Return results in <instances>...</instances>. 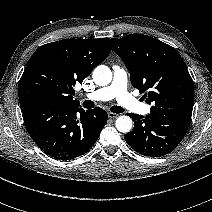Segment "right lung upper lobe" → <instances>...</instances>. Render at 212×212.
<instances>
[{
	"label": "right lung upper lobe",
	"instance_id": "cb5924a9",
	"mask_svg": "<svg viewBox=\"0 0 212 212\" xmlns=\"http://www.w3.org/2000/svg\"><path fill=\"white\" fill-rule=\"evenodd\" d=\"M111 52L109 38L64 39L40 46L21 77V111L46 105L80 106L72 88L81 83Z\"/></svg>",
	"mask_w": 212,
	"mask_h": 212
}]
</instances>
